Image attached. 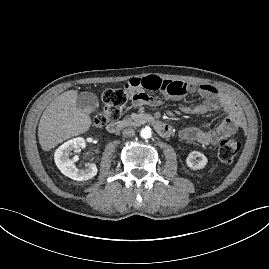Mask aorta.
<instances>
[{"label": "aorta", "mask_w": 269, "mask_h": 269, "mask_svg": "<svg viewBox=\"0 0 269 269\" xmlns=\"http://www.w3.org/2000/svg\"><path fill=\"white\" fill-rule=\"evenodd\" d=\"M140 135L144 139H148L152 136V131L150 127H145L141 130Z\"/></svg>", "instance_id": "1"}]
</instances>
